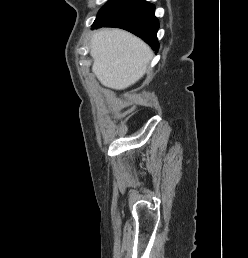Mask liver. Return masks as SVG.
<instances>
[{"label": "liver", "instance_id": "1", "mask_svg": "<svg viewBox=\"0 0 248 258\" xmlns=\"http://www.w3.org/2000/svg\"><path fill=\"white\" fill-rule=\"evenodd\" d=\"M90 54L92 71L102 85L123 90L143 77L153 52L138 37L120 29L93 33Z\"/></svg>", "mask_w": 248, "mask_h": 258}]
</instances>
